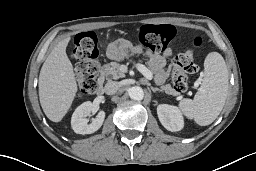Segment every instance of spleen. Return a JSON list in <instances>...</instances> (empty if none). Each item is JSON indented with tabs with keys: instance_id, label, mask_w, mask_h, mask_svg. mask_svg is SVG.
<instances>
[{
	"instance_id": "obj_1",
	"label": "spleen",
	"mask_w": 256,
	"mask_h": 171,
	"mask_svg": "<svg viewBox=\"0 0 256 171\" xmlns=\"http://www.w3.org/2000/svg\"><path fill=\"white\" fill-rule=\"evenodd\" d=\"M228 88L229 75L225 60L218 52H211L205 58L202 83L194 99L181 100L179 108L198 125H210L225 105Z\"/></svg>"
}]
</instances>
